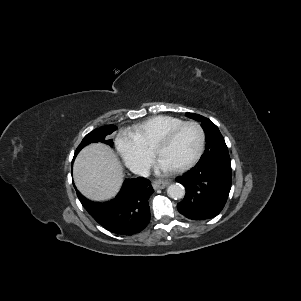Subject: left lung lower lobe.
<instances>
[{
  "mask_svg": "<svg viewBox=\"0 0 301 301\" xmlns=\"http://www.w3.org/2000/svg\"><path fill=\"white\" fill-rule=\"evenodd\" d=\"M186 194L177 204L178 211L192 220H205L217 216L224 208L231 189V163L210 161L176 178Z\"/></svg>",
  "mask_w": 301,
  "mask_h": 301,
  "instance_id": "0a47b994",
  "label": "left lung lower lobe"
}]
</instances>
